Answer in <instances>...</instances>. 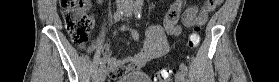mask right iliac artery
I'll return each instance as SVG.
<instances>
[{
	"mask_svg": "<svg viewBox=\"0 0 279 82\" xmlns=\"http://www.w3.org/2000/svg\"><path fill=\"white\" fill-rule=\"evenodd\" d=\"M123 16V11L122 10H117L115 13H114V20L115 21H119ZM100 66H105V62L103 60L100 61Z\"/></svg>",
	"mask_w": 279,
	"mask_h": 82,
	"instance_id": "1",
	"label": "right iliac artery"
}]
</instances>
